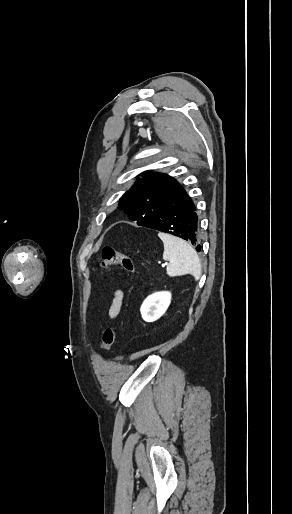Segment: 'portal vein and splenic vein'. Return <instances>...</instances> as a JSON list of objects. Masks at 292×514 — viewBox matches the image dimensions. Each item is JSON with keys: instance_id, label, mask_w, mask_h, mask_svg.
I'll return each instance as SVG.
<instances>
[{"instance_id": "18ae733b", "label": "portal vein and splenic vein", "mask_w": 292, "mask_h": 514, "mask_svg": "<svg viewBox=\"0 0 292 514\" xmlns=\"http://www.w3.org/2000/svg\"><path fill=\"white\" fill-rule=\"evenodd\" d=\"M164 266H168L167 262H165V264H162V268H164Z\"/></svg>"}]
</instances>
